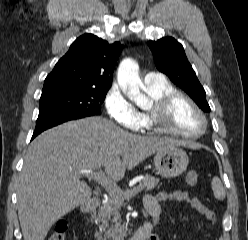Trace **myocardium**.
I'll return each instance as SVG.
<instances>
[{
    "mask_svg": "<svg viewBox=\"0 0 248 240\" xmlns=\"http://www.w3.org/2000/svg\"><path fill=\"white\" fill-rule=\"evenodd\" d=\"M180 98L186 100L201 117L203 121V128L199 132L182 133L166 126L165 124L166 117L169 114V111L172 105L174 104V102ZM147 114H148L149 127L155 132L169 136H174L184 139H196L201 137L206 132L208 127L207 117L203 112V110L200 108V106L196 103V101L188 94L178 90H174L169 93H166L157 100H154Z\"/></svg>",
    "mask_w": 248,
    "mask_h": 240,
    "instance_id": "1",
    "label": "myocardium"
}]
</instances>
